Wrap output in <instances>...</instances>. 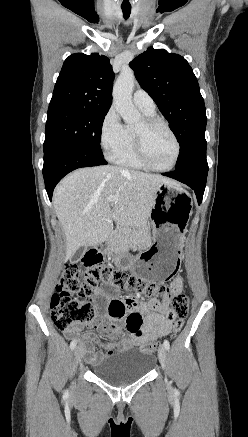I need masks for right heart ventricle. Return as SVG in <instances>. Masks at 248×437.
I'll list each match as a JSON object with an SVG mask.
<instances>
[{"mask_svg":"<svg viewBox=\"0 0 248 437\" xmlns=\"http://www.w3.org/2000/svg\"><path fill=\"white\" fill-rule=\"evenodd\" d=\"M147 117H154V113L142 111ZM115 161L124 167L133 169H143L144 166L139 161L134 147L133 131L127 130V142L124 149L116 156Z\"/></svg>","mask_w":248,"mask_h":437,"instance_id":"obj_1","label":"right heart ventricle"}]
</instances>
